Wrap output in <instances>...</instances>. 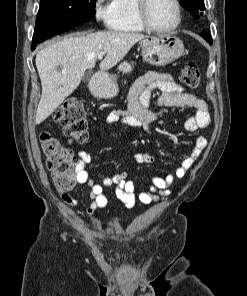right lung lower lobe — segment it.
<instances>
[{"label":"right lung lower lobe","instance_id":"obj_1","mask_svg":"<svg viewBox=\"0 0 247 296\" xmlns=\"http://www.w3.org/2000/svg\"><path fill=\"white\" fill-rule=\"evenodd\" d=\"M36 47V44H32L31 49L34 50Z\"/></svg>","mask_w":247,"mask_h":296}]
</instances>
